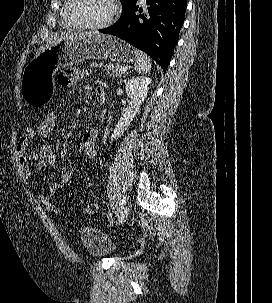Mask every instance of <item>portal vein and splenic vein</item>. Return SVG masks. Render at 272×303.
<instances>
[{
    "mask_svg": "<svg viewBox=\"0 0 272 303\" xmlns=\"http://www.w3.org/2000/svg\"><path fill=\"white\" fill-rule=\"evenodd\" d=\"M126 70H127L126 67H122V68L120 69V71H122V72H125Z\"/></svg>",
    "mask_w": 272,
    "mask_h": 303,
    "instance_id": "portal-vein-and-splenic-vein-1",
    "label": "portal vein and splenic vein"
}]
</instances>
